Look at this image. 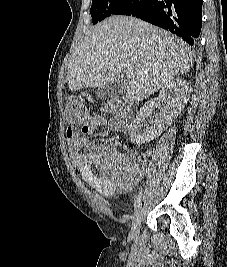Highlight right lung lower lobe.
<instances>
[{
	"mask_svg": "<svg viewBox=\"0 0 227 267\" xmlns=\"http://www.w3.org/2000/svg\"><path fill=\"white\" fill-rule=\"evenodd\" d=\"M117 15L140 18L182 37L191 46L202 26V0H129Z\"/></svg>",
	"mask_w": 227,
	"mask_h": 267,
	"instance_id": "1",
	"label": "right lung lower lobe"
}]
</instances>
